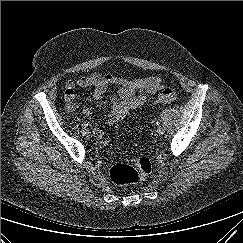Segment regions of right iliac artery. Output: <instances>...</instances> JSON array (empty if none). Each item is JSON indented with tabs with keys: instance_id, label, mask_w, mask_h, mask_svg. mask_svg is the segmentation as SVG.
I'll return each mask as SVG.
<instances>
[{
	"instance_id": "1",
	"label": "right iliac artery",
	"mask_w": 243,
	"mask_h": 243,
	"mask_svg": "<svg viewBox=\"0 0 243 243\" xmlns=\"http://www.w3.org/2000/svg\"><path fill=\"white\" fill-rule=\"evenodd\" d=\"M82 126H83L84 128H86V127L88 126V124H87V123H84Z\"/></svg>"
}]
</instances>
